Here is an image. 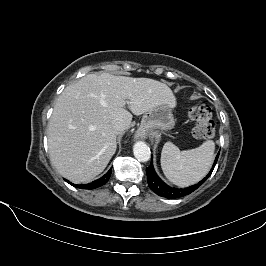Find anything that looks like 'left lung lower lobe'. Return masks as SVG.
<instances>
[{
	"instance_id": "obj_1",
	"label": "left lung lower lobe",
	"mask_w": 266,
	"mask_h": 266,
	"mask_svg": "<svg viewBox=\"0 0 266 266\" xmlns=\"http://www.w3.org/2000/svg\"><path fill=\"white\" fill-rule=\"evenodd\" d=\"M218 157L219 153L215 158L211 171L204 179H202L199 183L186 188H174L166 185L156 174L151 162L150 166L146 168L148 185L152 191H154L157 195L161 197H165L168 199H175L186 196L195 191L200 185H202L208 179V177L211 175L217 163Z\"/></svg>"
}]
</instances>
